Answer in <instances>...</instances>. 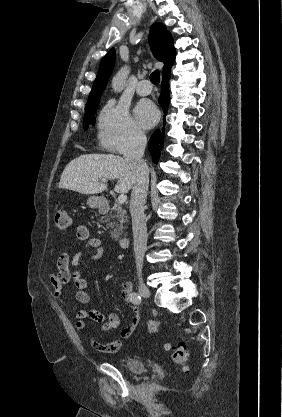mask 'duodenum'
I'll return each mask as SVG.
<instances>
[{"instance_id": "410a0bca", "label": "duodenum", "mask_w": 282, "mask_h": 417, "mask_svg": "<svg viewBox=\"0 0 282 417\" xmlns=\"http://www.w3.org/2000/svg\"><path fill=\"white\" fill-rule=\"evenodd\" d=\"M107 209H108L107 204H104L103 207H102V211L103 212H106ZM129 241H130V237L129 236H127V235L122 236L120 238V246H121V248L126 249L128 247Z\"/></svg>"}]
</instances>
